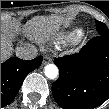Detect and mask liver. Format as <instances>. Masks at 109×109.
<instances>
[{"mask_svg": "<svg viewBox=\"0 0 109 109\" xmlns=\"http://www.w3.org/2000/svg\"><path fill=\"white\" fill-rule=\"evenodd\" d=\"M67 23L58 15L36 16L26 22L22 31L25 37L35 42H44L60 34L61 25ZM13 51L11 33L7 29L1 31V61L8 59Z\"/></svg>", "mask_w": 109, "mask_h": 109, "instance_id": "obj_1", "label": "liver"}]
</instances>
